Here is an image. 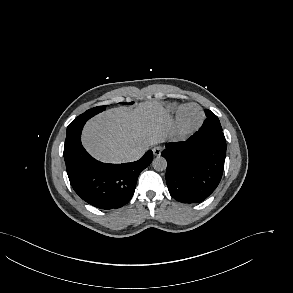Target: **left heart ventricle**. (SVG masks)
I'll list each match as a JSON object with an SVG mask.
<instances>
[{
  "instance_id": "obj_1",
  "label": "left heart ventricle",
  "mask_w": 293,
  "mask_h": 293,
  "mask_svg": "<svg viewBox=\"0 0 293 293\" xmlns=\"http://www.w3.org/2000/svg\"><path fill=\"white\" fill-rule=\"evenodd\" d=\"M200 116V111L195 107H191L185 111L184 120L187 124L193 125L199 121Z\"/></svg>"
}]
</instances>
